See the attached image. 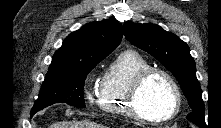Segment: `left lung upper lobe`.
<instances>
[{"instance_id": "left-lung-upper-lobe-1", "label": "left lung upper lobe", "mask_w": 221, "mask_h": 128, "mask_svg": "<svg viewBox=\"0 0 221 128\" xmlns=\"http://www.w3.org/2000/svg\"><path fill=\"white\" fill-rule=\"evenodd\" d=\"M124 34L128 41L151 54L175 76L192 108L187 119L199 127H206L201 88L188 45L153 23L125 22Z\"/></svg>"}]
</instances>
